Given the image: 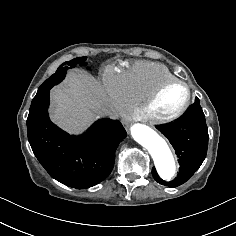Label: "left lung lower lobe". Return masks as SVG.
<instances>
[{
	"mask_svg": "<svg viewBox=\"0 0 236 236\" xmlns=\"http://www.w3.org/2000/svg\"><path fill=\"white\" fill-rule=\"evenodd\" d=\"M157 129L168 138L178 156L180 170L171 182L163 181L152 169L154 179L163 185L174 188L188 181L203 163L208 147V128L205 115L196 97L185 114L176 122L157 126Z\"/></svg>",
	"mask_w": 236,
	"mask_h": 236,
	"instance_id": "0a47b994",
	"label": "left lung lower lobe"
}]
</instances>
